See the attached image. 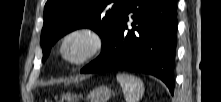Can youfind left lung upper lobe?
<instances>
[{"label": "left lung upper lobe", "mask_w": 221, "mask_h": 102, "mask_svg": "<svg viewBox=\"0 0 221 102\" xmlns=\"http://www.w3.org/2000/svg\"><path fill=\"white\" fill-rule=\"evenodd\" d=\"M127 0H48L41 33L43 59L59 37L82 27L96 31L103 46L115 32Z\"/></svg>", "instance_id": "left-lung-upper-lobe-1"}]
</instances>
